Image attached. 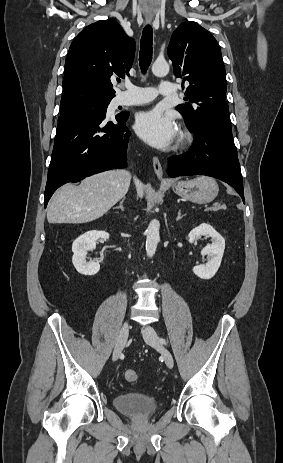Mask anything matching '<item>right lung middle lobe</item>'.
Wrapping results in <instances>:
<instances>
[{
    "instance_id": "right-lung-middle-lobe-1",
    "label": "right lung middle lobe",
    "mask_w": 283,
    "mask_h": 463,
    "mask_svg": "<svg viewBox=\"0 0 283 463\" xmlns=\"http://www.w3.org/2000/svg\"><path fill=\"white\" fill-rule=\"evenodd\" d=\"M111 100H97L91 101L76 107L60 110V117L58 120L65 119L78 113L89 111L91 109L100 108L106 110Z\"/></svg>"
}]
</instances>
